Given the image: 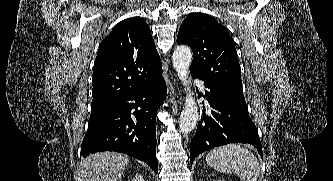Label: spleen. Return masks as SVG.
<instances>
[{
	"instance_id": "obj_1",
	"label": "spleen",
	"mask_w": 333,
	"mask_h": 181,
	"mask_svg": "<svg viewBox=\"0 0 333 181\" xmlns=\"http://www.w3.org/2000/svg\"><path fill=\"white\" fill-rule=\"evenodd\" d=\"M206 161L218 172L236 173L242 181H257L260 166L256 156L238 144H228L211 150Z\"/></svg>"
}]
</instances>
